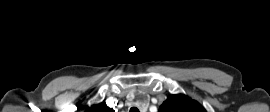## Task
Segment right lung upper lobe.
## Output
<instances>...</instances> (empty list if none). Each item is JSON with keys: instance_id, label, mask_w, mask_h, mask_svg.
<instances>
[{"instance_id": "obj_1", "label": "right lung upper lobe", "mask_w": 270, "mask_h": 112, "mask_svg": "<svg viewBox=\"0 0 270 112\" xmlns=\"http://www.w3.org/2000/svg\"><path fill=\"white\" fill-rule=\"evenodd\" d=\"M87 112H115V111L112 108L107 107L105 102H102L99 105L93 106Z\"/></svg>"}]
</instances>
